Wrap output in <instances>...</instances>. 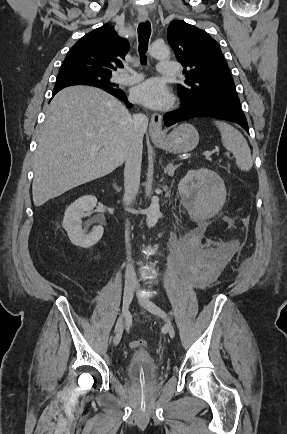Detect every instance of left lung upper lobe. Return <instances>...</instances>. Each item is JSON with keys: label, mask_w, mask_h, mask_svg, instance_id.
<instances>
[{"label": "left lung upper lobe", "mask_w": 287, "mask_h": 434, "mask_svg": "<svg viewBox=\"0 0 287 434\" xmlns=\"http://www.w3.org/2000/svg\"><path fill=\"white\" fill-rule=\"evenodd\" d=\"M167 38L184 72L187 70V79L177 87L180 98L239 101L220 47L208 33L184 21H174Z\"/></svg>", "instance_id": "obj_1"}]
</instances>
